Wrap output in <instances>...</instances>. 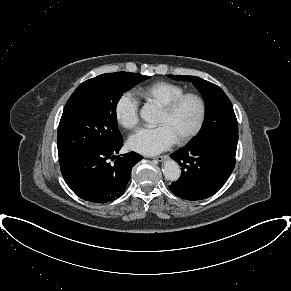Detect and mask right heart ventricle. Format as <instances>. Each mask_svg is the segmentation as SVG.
Masks as SVG:
<instances>
[{
    "mask_svg": "<svg viewBox=\"0 0 291 291\" xmlns=\"http://www.w3.org/2000/svg\"><path fill=\"white\" fill-rule=\"evenodd\" d=\"M184 92L182 86L168 81H158L138 90L140 97L160 107Z\"/></svg>",
    "mask_w": 291,
    "mask_h": 291,
    "instance_id": "right-heart-ventricle-1",
    "label": "right heart ventricle"
}]
</instances>
